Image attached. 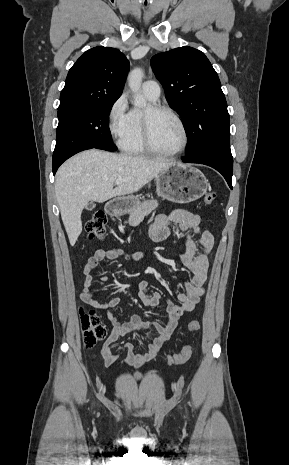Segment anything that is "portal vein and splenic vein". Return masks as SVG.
Listing matches in <instances>:
<instances>
[{
  "mask_svg": "<svg viewBox=\"0 0 289 465\" xmlns=\"http://www.w3.org/2000/svg\"><path fill=\"white\" fill-rule=\"evenodd\" d=\"M123 182H124V180L118 179V180L115 181V184H116V185H120V184L123 183Z\"/></svg>",
  "mask_w": 289,
  "mask_h": 465,
  "instance_id": "18ae733b",
  "label": "portal vein and splenic vein"
}]
</instances>
